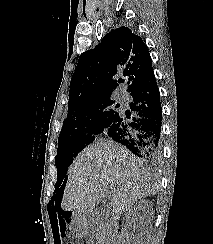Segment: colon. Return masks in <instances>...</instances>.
Listing matches in <instances>:
<instances>
[{
  "label": "colon",
  "mask_w": 213,
  "mask_h": 244,
  "mask_svg": "<svg viewBox=\"0 0 213 244\" xmlns=\"http://www.w3.org/2000/svg\"><path fill=\"white\" fill-rule=\"evenodd\" d=\"M64 244H75V243L73 241H71V240H68Z\"/></svg>",
  "instance_id": "1"
}]
</instances>
